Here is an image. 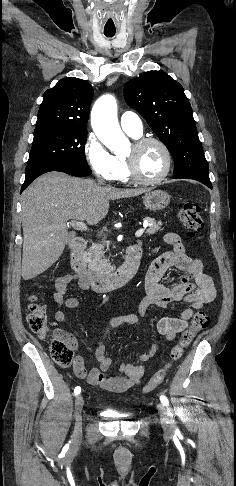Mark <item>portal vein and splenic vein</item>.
Instances as JSON below:
<instances>
[{
	"instance_id": "18ae733b",
	"label": "portal vein and splenic vein",
	"mask_w": 236,
	"mask_h": 486,
	"mask_svg": "<svg viewBox=\"0 0 236 486\" xmlns=\"http://www.w3.org/2000/svg\"><path fill=\"white\" fill-rule=\"evenodd\" d=\"M71 226L77 230L86 231L88 230L87 225L83 221H73L70 223ZM144 233V228L139 229L135 233V237H140Z\"/></svg>"
}]
</instances>
